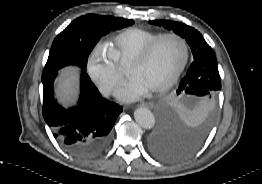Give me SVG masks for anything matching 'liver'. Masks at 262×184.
Segmentation results:
<instances>
[{
	"label": "liver",
	"mask_w": 262,
	"mask_h": 184,
	"mask_svg": "<svg viewBox=\"0 0 262 184\" xmlns=\"http://www.w3.org/2000/svg\"><path fill=\"white\" fill-rule=\"evenodd\" d=\"M77 75L76 69L63 70L58 83V94L63 101H73L76 95Z\"/></svg>",
	"instance_id": "6515ba94"
}]
</instances>
